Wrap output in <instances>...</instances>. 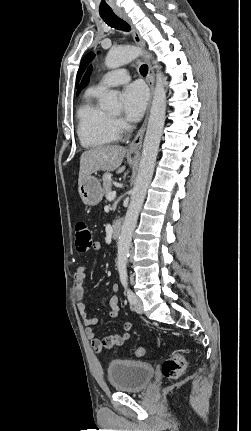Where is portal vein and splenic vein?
Listing matches in <instances>:
<instances>
[{
	"instance_id": "1",
	"label": "portal vein and splenic vein",
	"mask_w": 251,
	"mask_h": 431,
	"mask_svg": "<svg viewBox=\"0 0 251 431\" xmlns=\"http://www.w3.org/2000/svg\"><path fill=\"white\" fill-rule=\"evenodd\" d=\"M115 197H116V193L115 192H111V193L108 194L107 199L109 201H112V200L115 199Z\"/></svg>"
}]
</instances>
